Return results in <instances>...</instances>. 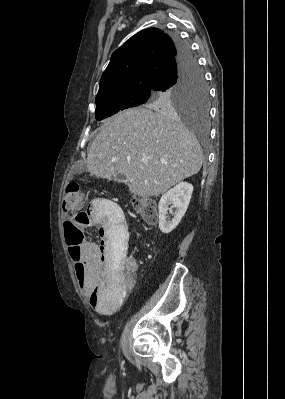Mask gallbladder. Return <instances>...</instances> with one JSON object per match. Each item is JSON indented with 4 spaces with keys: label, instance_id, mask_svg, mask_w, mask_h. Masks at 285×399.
<instances>
[{
    "label": "gallbladder",
    "instance_id": "1",
    "mask_svg": "<svg viewBox=\"0 0 285 399\" xmlns=\"http://www.w3.org/2000/svg\"><path fill=\"white\" fill-rule=\"evenodd\" d=\"M111 179L113 181H117V182H121V183H125L126 182L125 176L123 174H121V173L114 174Z\"/></svg>",
    "mask_w": 285,
    "mask_h": 399
}]
</instances>
